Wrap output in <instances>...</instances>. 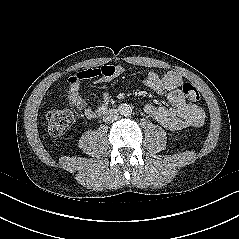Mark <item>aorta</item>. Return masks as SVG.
Returning a JSON list of instances; mask_svg holds the SVG:
<instances>
[{"label": "aorta", "instance_id": "aorta-1", "mask_svg": "<svg viewBox=\"0 0 239 239\" xmlns=\"http://www.w3.org/2000/svg\"><path fill=\"white\" fill-rule=\"evenodd\" d=\"M119 111L121 115L129 116L132 113V108L130 107V105L123 104L120 106Z\"/></svg>", "mask_w": 239, "mask_h": 239}]
</instances>
